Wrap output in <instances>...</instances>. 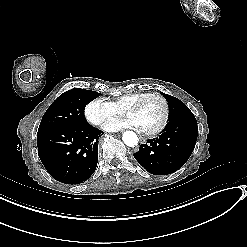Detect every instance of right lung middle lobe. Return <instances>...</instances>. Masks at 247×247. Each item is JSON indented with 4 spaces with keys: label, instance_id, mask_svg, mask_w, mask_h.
I'll list each match as a JSON object with an SVG mask.
<instances>
[{
    "label": "right lung middle lobe",
    "instance_id": "1",
    "mask_svg": "<svg viewBox=\"0 0 247 247\" xmlns=\"http://www.w3.org/2000/svg\"><path fill=\"white\" fill-rule=\"evenodd\" d=\"M99 93L91 90L74 88L62 93L47 109L39 125V131L54 127L84 126L85 106Z\"/></svg>",
    "mask_w": 247,
    "mask_h": 247
}]
</instances>
